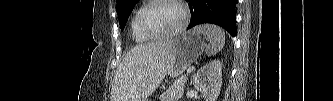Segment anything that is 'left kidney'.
<instances>
[{
    "label": "left kidney",
    "instance_id": "obj_1",
    "mask_svg": "<svg viewBox=\"0 0 333 101\" xmlns=\"http://www.w3.org/2000/svg\"><path fill=\"white\" fill-rule=\"evenodd\" d=\"M222 62L213 60L201 67L193 77V86L205 101H216L222 86Z\"/></svg>",
    "mask_w": 333,
    "mask_h": 101
}]
</instances>
